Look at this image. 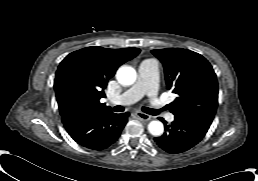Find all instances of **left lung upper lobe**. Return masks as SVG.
Returning a JSON list of instances; mask_svg holds the SVG:
<instances>
[{"label": "left lung upper lobe", "instance_id": "5c2ea615", "mask_svg": "<svg viewBox=\"0 0 258 181\" xmlns=\"http://www.w3.org/2000/svg\"><path fill=\"white\" fill-rule=\"evenodd\" d=\"M163 63L167 88L177 94L168 105L175 116L212 121L218 104V83L211 64L200 54L181 48L152 50Z\"/></svg>", "mask_w": 258, "mask_h": 181}]
</instances>
